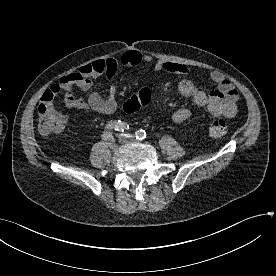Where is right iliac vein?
Returning <instances> with one entry per match:
<instances>
[{"label":"right iliac vein","instance_id":"obj_1","mask_svg":"<svg viewBox=\"0 0 276 276\" xmlns=\"http://www.w3.org/2000/svg\"><path fill=\"white\" fill-rule=\"evenodd\" d=\"M108 145H109V147L111 148V149H116V147H117V144H116V142H115V140L114 139H112L111 141H109L108 142Z\"/></svg>","mask_w":276,"mask_h":276}]
</instances>
